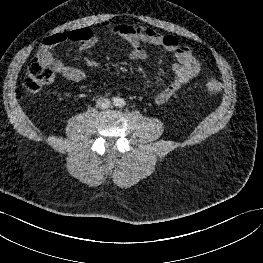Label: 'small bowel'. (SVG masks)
<instances>
[{
  "mask_svg": "<svg viewBox=\"0 0 263 263\" xmlns=\"http://www.w3.org/2000/svg\"><path fill=\"white\" fill-rule=\"evenodd\" d=\"M108 35H115L125 40L131 47L129 56L133 60H142L146 56L143 44H152L163 47L166 51L173 53L174 75L169 84L154 97L156 104H164L185 84L194 79L200 72V62L194 56L188 46L181 45L173 35H163L157 31L129 23H117L107 26L98 31L90 28H81L65 33H56L46 37L39 48L38 59L44 64L51 66L54 71L64 78L73 82L85 80V73L78 68L64 65L56 59L52 50L62 44L74 42L80 44L82 51L89 50L99 40Z\"/></svg>",
  "mask_w": 263,
  "mask_h": 263,
  "instance_id": "obj_1",
  "label": "small bowel"
}]
</instances>
